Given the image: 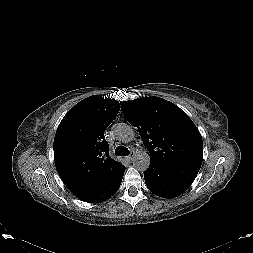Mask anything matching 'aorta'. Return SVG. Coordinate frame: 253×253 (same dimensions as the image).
<instances>
[{
  "label": "aorta",
  "mask_w": 253,
  "mask_h": 253,
  "mask_svg": "<svg viewBox=\"0 0 253 253\" xmlns=\"http://www.w3.org/2000/svg\"><path fill=\"white\" fill-rule=\"evenodd\" d=\"M113 131L116 139L125 143L132 141L135 136L132 126L125 123L116 124ZM133 165L138 170H147L150 165L149 154L145 151L137 152L134 155Z\"/></svg>",
  "instance_id": "762f6f07"
}]
</instances>
